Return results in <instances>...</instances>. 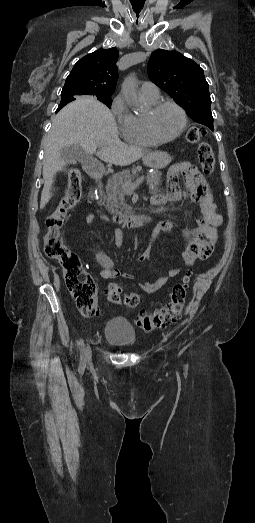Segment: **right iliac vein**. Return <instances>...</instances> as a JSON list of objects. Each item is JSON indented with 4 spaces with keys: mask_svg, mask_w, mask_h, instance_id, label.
<instances>
[{
    "mask_svg": "<svg viewBox=\"0 0 255 523\" xmlns=\"http://www.w3.org/2000/svg\"><path fill=\"white\" fill-rule=\"evenodd\" d=\"M85 356H86V359H90V357H91V348L89 345H87L85 348Z\"/></svg>",
    "mask_w": 255,
    "mask_h": 523,
    "instance_id": "1",
    "label": "right iliac vein"
}]
</instances>
